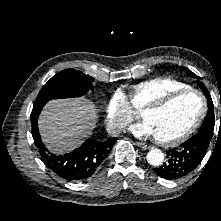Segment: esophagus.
<instances>
[{"instance_id":"34e87169","label":"esophagus","mask_w":221,"mask_h":221,"mask_svg":"<svg viewBox=\"0 0 221 221\" xmlns=\"http://www.w3.org/2000/svg\"><path fill=\"white\" fill-rule=\"evenodd\" d=\"M136 145L144 150L150 148L146 143H143V142H136Z\"/></svg>"}]
</instances>
